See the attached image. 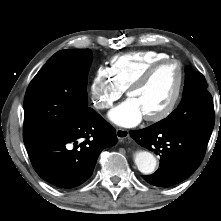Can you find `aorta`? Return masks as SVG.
Instances as JSON below:
<instances>
[{
  "label": "aorta",
  "instance_id": "aorta-1",
  "mask_svg": "<svg viewBox=\"0 0 221 221\" xmlns=\"http://www.w3.org/2000/svg\"><path fill=\"white\" fill-rule=\"evenodd\" d=\"M134 161L138 170L143 174L153 173L157 165L155 156L148 151L136 152Z\"/></svg>",
  "mask_w": 221,
  "mask_h": 221
}]
</instances>
